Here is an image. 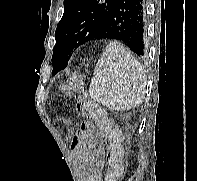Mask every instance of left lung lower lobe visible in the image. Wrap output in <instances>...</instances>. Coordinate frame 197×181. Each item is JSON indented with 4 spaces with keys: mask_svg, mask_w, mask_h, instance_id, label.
Masks as SVG:
<instances>
[{
    "mask_svg": "<svg viewBox=\"0 0 197 181\" xmlns=\"http://www.w3.org/2000/svg\"><path fill=\"white\" fill-rule=\"evenodd\" d=\"M144 0H114L100 22L94 39L123 42L138 56L146 53V11Z\"/></svg>",
    "mask_w": 197,
    "mask_h": 181,
    "instance_id": "obj_1",
    "label": "left lung lower lobe"
}]
</instances>
